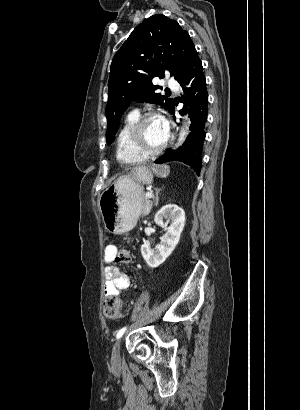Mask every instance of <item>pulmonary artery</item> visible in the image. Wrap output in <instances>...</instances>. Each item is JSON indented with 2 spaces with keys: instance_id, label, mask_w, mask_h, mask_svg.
Wrapping results in <instances>:
<instances>
[{
  "instance_id": "1",
  "label": "pulmonary artery",
  "mask_w": 300,
  "mask_h": 410,
  "mask_svg": "<svg viewBox=\"0 0 300 410\" xmlns=\"http://www.w3.org/2000/svg\"><path fill=\"white\" fill-rule=\"evenodd\" d=\"M166 83L170 88L174 89L175 91L178 90V85L174 78L172 77L166 78Z\"/></svg>"
}]
</instances>
